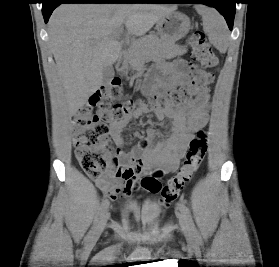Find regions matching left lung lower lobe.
Masks as SVG:
<instances>
[{
  "label": "left lung lower lobe",
  "instance_id": "left-lung-lower-lobe-1",
  "mask_svg": "<svg viewBox=\"0 0 279 267\" xmlns=\"http://www.w3.org/2000/svg\"><path fill=\"white\" fill-rule=\"evenodd\" d=\"M146 3H200L216 8L226 19L229 29L233 28L236 0H150Z\"/></svg>",
  "mask_w": 279,
  "mask_h": 267
}]
</instances>
